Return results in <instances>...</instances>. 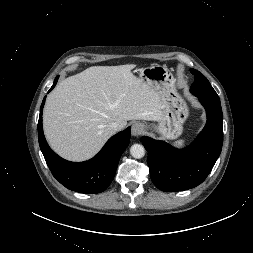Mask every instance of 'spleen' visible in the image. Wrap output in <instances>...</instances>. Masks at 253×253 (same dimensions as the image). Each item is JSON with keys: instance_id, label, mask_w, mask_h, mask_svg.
Instances as JSON below:
<instances>
[{"instance_id": "spleen-1", "label": "spleen", "mask_w": 253, "mask_h": 253, "mask_svg": "<svg viewBox=\"0 0 253 253\" xmlns=\"http://www.w3.org/2000/svg\"><path fill=\"white\" fill-rule=\"evenodd\" d=\"M185 143H186L185 139H180V140L175 141L173 143V145L176 146V147H184Z\"/></svg>"}]
</instances>
